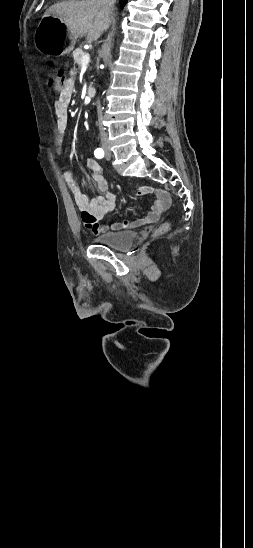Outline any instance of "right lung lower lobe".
<instances>
[{
	"instance_id": "right-lung-lower-lobe-1",
	"label": "right lung lower lobe",
	"mask_w": 253,
	"mask_h": 548,
	"mask_svg": "<svg viewBox=\"0 0 253 548\" xmlns=\"http://www.w3.org/2000/svg\"><path fill=\"white\" fill-rule=\"evenodd\" d=\"M122 4H126L127 0H121Z\"/></svg>"
}]
</instances>
